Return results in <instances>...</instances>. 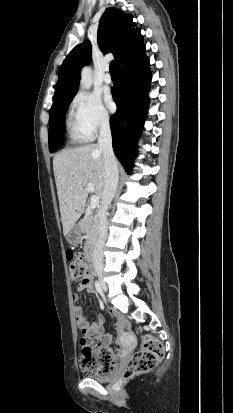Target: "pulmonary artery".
I'll return each instance as SVG.
<instances>
[{"label":"pulmonary artery","mask_w":233,"mask_h":413,"mask_svg":"<svg viewBox=\"0 0 233 413\" xmlns=\"http://www.w3.org/2000/svg\"><path fill=\"white\" fill-rule=\"evenodd\" d=\"M103 81H104L106 84L112 83V77H111V75H110V73H109L108 67L105 69V74H104V76H103Z\"/></svg>","instance_id":"pulmonary-artery-1"}]
</instances>
